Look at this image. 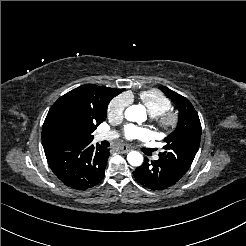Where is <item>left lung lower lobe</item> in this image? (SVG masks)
Wrapping results in <instances>:
<instances>
[{"mask_svg":"<svg viewBox=\"0 0 246 246\" xmlns=\"http://www.w3.org/2000/svg\"><path fill=\"white\" fill-rule=\"evenodd\" d=\"M135 179L143 186L151 190H160L172 186L184 175L177 168L164 162L160 158L149 162L145 158L144 163L134 172Z\"/></svg>","mask_w":246,"mask_h":246,"instance_id":"1","label":"left lung lower lobe"}]
</instances>
